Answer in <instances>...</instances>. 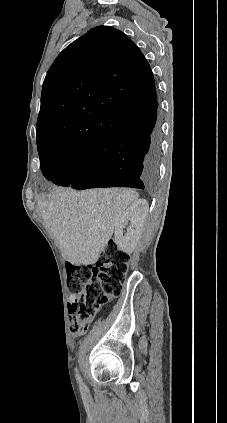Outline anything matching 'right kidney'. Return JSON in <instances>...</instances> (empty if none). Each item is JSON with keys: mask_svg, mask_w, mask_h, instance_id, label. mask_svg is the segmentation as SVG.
<instances>
[{"mask_svg": "<svg viewBox=\"0 0 227 423\" xmlns=\"http://www.w3.org/2000/svg\"><path fill=\"white\" fill-rule=\"evenodd\" d=\"M148 210L149 206L146 200H136L134 204H131V206L124 211L118 223H116L114 231L115 243H117L119 249H122L125 253H132V251H134L137 239L141 235ZM128 221H130V225L127 227V233L123 235V227L128 225Z\"/></svg>", "mask_w": 227, "mask_h": 423, "instance_id": "right-kidney-1", "label": "right kidney"}]
</instances>
